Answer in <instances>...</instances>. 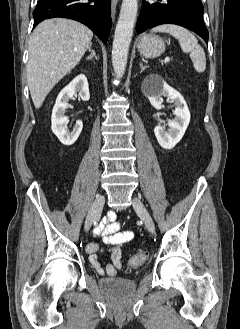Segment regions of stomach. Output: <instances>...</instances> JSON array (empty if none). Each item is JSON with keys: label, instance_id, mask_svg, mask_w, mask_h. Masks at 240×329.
I'll list each match as a JSON object with an SVG mask.
<instances>
[{"label": "stomach", "instance_id": "0dacf381", "mask_svg": "<svg viewBox=\"0 0 240 329\" xmlns=\"http://www.w3.org/2000/svg\"><path fill=\"white\" fill-rule=\"evenodd\" d=\"M138 49L144 57H157L164 52L165 44L159 36L143 35L139 40Z\"/></svg>", "mask_w": 240, "mask_h": 329}]
</instances>
